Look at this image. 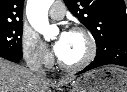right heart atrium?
Here are the masks:
<instances>
[{"instance_id":"obj_1","label":"right heart atrium","mask_w":127,"mask_h":92,"mask_svg":"<svg viewBox=\"0 0 127 92\" xmlns=\"http://www.w3.org/2000/svg\"><path fill=\"white\" fill-rule=\"evenodd\" d=\"M22 51L26 62L34 67H45L52 61V56L39 36L32 31L22 35Z\"/></svg>"}]
</instances>
